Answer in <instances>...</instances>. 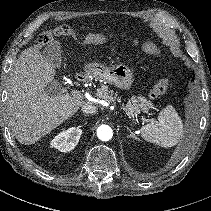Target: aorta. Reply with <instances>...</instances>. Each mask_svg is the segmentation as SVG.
Returning <instances> with one entry per match:
<instances>
[{
  "label": "aorta",
  "instance_id": "aorta-1",
  "mask_svg": "<svg viewBox=\"0 0 211 211\" xmlns=\"http://www.w3.org/2000/svg\"><path fill=\"white\" fill-rule=\"evenodd\" d=\"M97 136L101 141H109L113 136L112 128L108 125H101L97 129Z\"/></svg>",
  "mask_w": 211,
  "mask_h": 211
}]
</instances>
